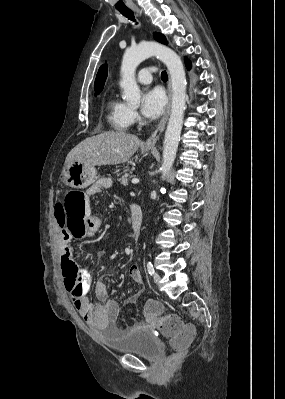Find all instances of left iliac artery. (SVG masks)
Segmentation results:
<instances>
[{
    "label": "left iliac artery",
    "instance_id": "44dca946",
    "mask_svg": "<svg viewBox=\"0 0 285 399\" xmlns=\"http://www.w3.org/2000/svg\"><path fill=\"white\" fill-rule=\"evenodd\" d=\"M147 270H148V273L150 275L154 274V267H153V264L150 261L147 263Z\"/></svg>",
    "mask_w": 285,
    "mask_h": 399
}]
</instances>
